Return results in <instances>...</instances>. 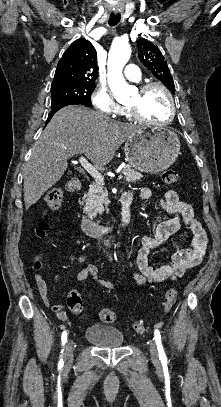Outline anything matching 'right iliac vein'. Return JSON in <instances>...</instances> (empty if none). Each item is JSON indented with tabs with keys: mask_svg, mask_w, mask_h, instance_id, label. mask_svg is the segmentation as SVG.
I'll use <instances>...</instances> for the list:
<instances>
[{
	"mask_svg": "<svg viewBox=\"0 0 221 407\" xmlns=\"http://www.w3.org/2000/svg\"><path fill=\"white\" fill-rule=\"evenodd\" d=\"M73 361V345L72 342L69 340L65 347V362L66 364H70Z\"/></svg>",
	"mask_w": 221,
	"mask_h": 407,
	"instance_id": "1",
	"label": "right iliac vein"
}]
</instances>
